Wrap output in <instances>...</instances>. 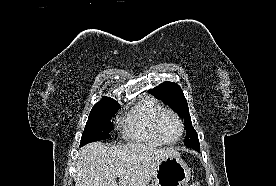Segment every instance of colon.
Listing matches in <instances>:
<instances>
[{
  "label": "colon",
  "mask_w": 276,
  "mask_h": 186,
  "mask_svg": "<svg viewBox=\"0 0 276 186\" xmlns=\"http://www.w3.org/2000/svg\"><path fill=\"white\" fill-rule=\"evenodd\" d=\"M191 186H199V184L198 183H194Z\"/></svg>",
  "instance_id": "1"
}]
</instances>
